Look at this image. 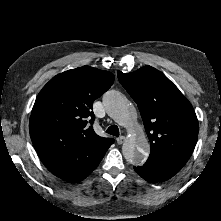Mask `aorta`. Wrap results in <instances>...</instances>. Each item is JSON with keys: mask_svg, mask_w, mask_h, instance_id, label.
Returning <instances> with one entry per match:
<instances>
[{"mask_svg": "<svg viewBox=\"0 0 221 221\" xmlns=\"http://www.w3.org/2000/svg\"><path fill=\"white\" fill-rule=\"evenodd\" d=\"M103 105L108 115L130 133L122 146L124 158L134 165L143 164L149 155L150 144L141 128L137 134L132 131L137 118L133 104L120 92L109 90L103 95Z\"/></svg>", "mask_w": 221, "mask_h": 221, "instance_id": "obj_1", "label": "aorta"}]
</instances>
